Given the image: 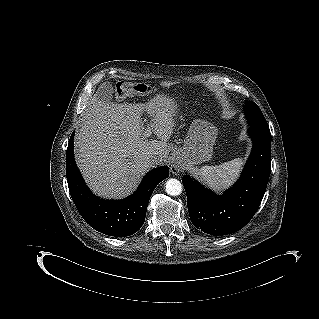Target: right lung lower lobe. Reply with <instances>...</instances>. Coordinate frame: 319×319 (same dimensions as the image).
<instances>
[{
  "instance_id": "obj_1",
  "label": "right lung lower lobe",
  "mask_w": 319,
  "mask_h": 319,
  "mask_svg": "<svg viewBox=\"0 0 319 319\" xmlns=\"http://www.w3.org/2000/svg\"><path fill=\"white\" fill-rule=\"evenodd\" d=\"M74 132L66 153V175L71 197L84 220L95 230L110 236L136 233L145 221L149 199L156 186L169 176L167 166L145 175L138 189L122 200L101 199L88 189L78 170L73 152Z\"/></svg>"
}]
</instances>
